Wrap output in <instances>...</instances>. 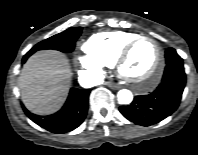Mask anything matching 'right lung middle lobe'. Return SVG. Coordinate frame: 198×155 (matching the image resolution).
Masks as SVG:
<instances>
[{"mask_svg": "<svg viewBox=\"0 0 198 155\" xmlns=\"http://www.w3.org/2000/svg\"><path fill=\"white\" fill-rule=\"evenodd\" d=\"M82 27H74L54 35L35 45L25 56L29 57L34 52L42 49H55L65 53L72 52L75 42L81 34Z\"/></svg>", "mask_w": 198, "mask_h": 155, "instance_id": "obj_1", "label": "right lung middle lobe"}]
</instances>
